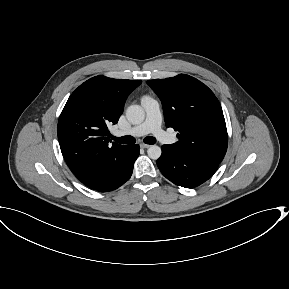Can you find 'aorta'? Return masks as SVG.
<instances>
[{
	"label": "aorta",
	"mask_w": 289,
	"mask_h": 289,
	"mask_svg": "<svg viewBox=\"0 0 289 289\" xmlns=\"http://www.w3.org/2000/svg\"><path fill=\"white\" fill-rule=\"evenodd\" d=\"M126 118L127 120L134 125L140 124L145 119L144 109L140 105H131L126 110ZM148 156L157 160L161 156V148L157 145H152L147 150Z\"/></svg>",
	"instance_id": "aorta-1"
}]
</instances>
